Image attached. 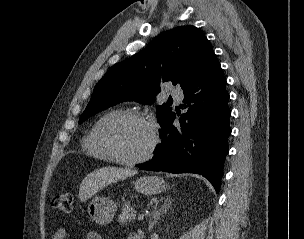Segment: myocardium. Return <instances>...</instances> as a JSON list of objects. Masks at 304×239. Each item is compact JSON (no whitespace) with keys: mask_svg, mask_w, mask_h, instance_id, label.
I'll list each match as a JSON object with an SVG mask.
<instances>
[{"mask_svg":"<svg viewBox=\"0 0 304 239\" xmlns=\"http://www.w3.org/2000/svg\"><path fill=\"white\" fill-rule=\"evenodd\" d=\"M130 120H137L148 124L152 130V141L148 147V149L140 156L135 158H125L121 156L116 148L114 147L112 140H111V132L113 128L117 125L130 121ZM99 141L102 147L107 151V153L112 158V161L122 164V165H137L143 163L150 159L158 145L159 142V135L156 126L150 120L148 116L143 113L135 112V111H122L110 119H108L99 132Z\"/></svg>","mask_w":304,"mask_h":239,"instance_id":"obj_1","label":"myocardium"}]
</instances>
